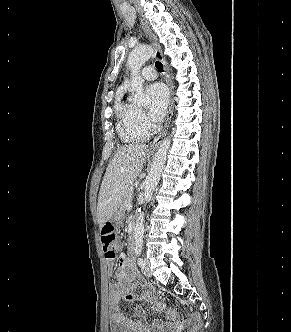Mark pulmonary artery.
<instances>
[{
	"label": "pulmonary artery",
	"mask_w": 291,
	"mask_h": 332,
	"mask_svg": "<svg viewBox=\"0 0 291 332\" xmlns=\"http://www.w3.org/2000/svg\"><path fill=\"white\" fill-rule=\"evenodd\" d=\"M141 77L148 81L154 80L157 78L156 70L152 66H147L141 71Z\"/></svg>",
	"instance_id": "1"
}]
</instances>
